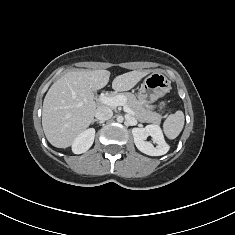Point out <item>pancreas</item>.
Returning a JSON list of instances; mask_svg holds the SVG:
<instances>
[{"label":"pancreas","mask_w":235,"mask_h":235,"mask_svg":"<svg viewBox=\"0 0 235 235\" xmlns=\"http://www.w3.org/2000/svg\"><path fill=\"white\" fill-rule=\"evenodd\" d=\"M122 95L126 99V104L134 111V117L140 122L160 124L162 116L149 108H145L132 93H115L111 96Z\"/></svg>","instance_id":"obj_1"}]
</instances>
